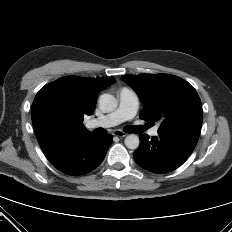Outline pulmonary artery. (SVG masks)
<instances>
[{
    "instance_id": "obj_1",
    "label": "pulmonary artery",
    "mask_w": 232,
    "mask_h": 232,
    "mask_svg": "<svg viewBox=\"0 0 232 232\" xmlns=\"http://www.w3.org/2000/svg\"><path fill=\"white\" fill-rule=\"evenodd\" d=\"M118 101L119 104L116 110L107 115L88 121L86 127L89 129L98 127L109 128L134 118L139 109L138 95L128 88H122L118 93ZM158 129L159 125L154 126L150 129L149 135L156 136Z\"/></svg>"
}]
</instances>
